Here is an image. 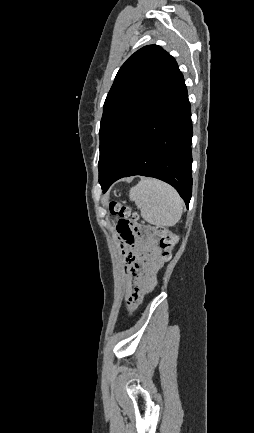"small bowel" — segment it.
Listing matches in <instances>:
<instances>
[{"mask_svg":"<svg viewBox=\"0 0 254 433\" xmlns=\"http://www.w3.org/2000/svg\"><path fill=\"white\" fill-rule=\"evenodd\" d=\"M124 252V278L127 280L129 300H138L153 290L157 284V273L164 260L154 236H137Z\"/></svg>","mask_w":254,"mask_h":433,"instance_id":"c3829d8e","label":"small bowel"}]
</instances>
